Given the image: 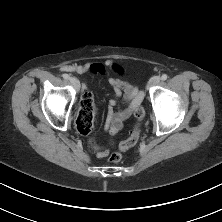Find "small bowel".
<instances>
[{
	"label": "small bowel",
	"mask_w": 222,
	"mask_h": 222,
	"mask_svg": "<svg viewBox=\"0 0 222 222\" xmlns=\"http://www.w3.org/2000/svg\"><path fill=\"white\" fill-rule=\"evenodd\" d=\"M113 66L114 62L112 60H108L104 64L89 62L83 65H66L63 67V70L76 72L79 74L89 72L95 75L102 74L105 72L106 68H111ZM108 82L113 87L116 97L123 95V103L120 107L116 108L117 101L114 99L110 100L108 105L105 129L110 134H115L122 129L124 122L132 115L135 108L141 103L143 93L136 86L118 78H109ZM93 128L94 121L90 132L93 130ZM91 147L95 151L98 158L106 157L109 154L108 149L100 147L94 144L92 141Z\"/></svg>",
	"instance_id": "small-bowel-1"
}]
</instances>
